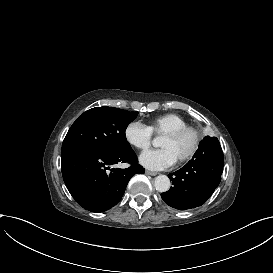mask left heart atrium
Wrapping results in <instances>:
<instances>
[{
    "label": "left heart atrium",
    "mask_w": 273,
    "mask_h": 273,
    "mask_svg": "<svg viewBox=\"0 0 273 273\" xmlns=\"http://www.w3.org/2000/svg\"><path fill=\"white\" fill-rule=\"evenodd\" d=\"M140 163L147 169L158 170L173 165L177 160L169 149H148L140 155Z\"/></svg>",
    "instance_id": "obj_1"
}]
</instances>
